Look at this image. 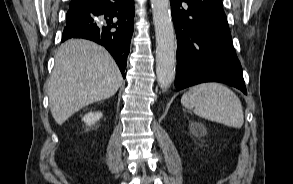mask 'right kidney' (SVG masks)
I'll return each mask as SVG.
<instances>
[{"instance_id": "1", "label": "right kidney", "mask_w": 293, "mask_h": 184, "mask_svg": "<svg viewBox=\"0 0 293 184\" xmlns=\"http://www.w3.org/2000/svg\"><path fill=\"white\" fill-rule=\"evenodd\" d=\"M102 117L103 114L101 112H89L82 118V120L86 123V125L91 126L99 121Z\"/></svg>"}]
</instances>
